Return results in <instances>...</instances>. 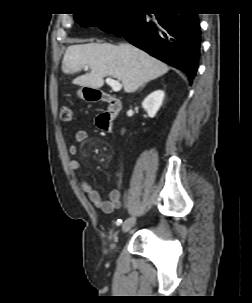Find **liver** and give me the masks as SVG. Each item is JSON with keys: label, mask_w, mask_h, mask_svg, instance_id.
Listing matches in <instances>:
<instances>
[{"label": "liver", "mask_w": 252, "mask_h": 303, "mask_svg": "<svg viewBox=\"0 0 252 303\" xmlns=\"http://www.w3.org/2000/svg\"><path fill=\"white\" fill-rule=\"evenodd\" d=\"M85 66L90 67V73L75 78L73 84L98 89L104 85L103 78L110 76L121 81L127 93L136 91L169 70L165 63L128 43L69 46L62 62L64 73L72 74Z\"/></svg>", "instance_id": "6515ba94"}]
</instances>
